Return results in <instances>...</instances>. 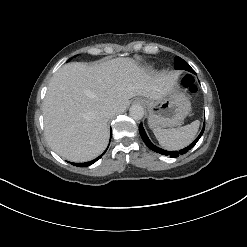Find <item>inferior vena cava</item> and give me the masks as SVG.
<instances>
[{
    "instance_id": "1",
    "label": "inferior vena cava",
    "mask_w": 247,
    "mask_h": 247,
    "mask_svg": "<svg viewBox=\"0 0 247 247\" xmlns=\"http://www.w3.org/2000/svg\"><path fill=\"white\" fill-rule=\"evenodd\" d=\"M115 114V110L112 109V108H106L104 111H103V115L106 117V118H109L111 117L112 115Z\"/></svg>"
}]
</instances>
